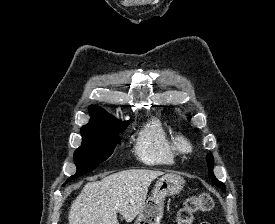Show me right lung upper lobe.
<instances>
[{"mask_svg":"<svg viewBox=\"0 0 275 224\" xmlns=\"http://www.w3.org/2000/svg\"><path fill=\"white\" fill-rule=\"evenodd\" d=\"M89 111L91 113V119L89 123L84 125L82 128H100L122 124L117 122L111 115H109L100 107L91 106Z\"/></svg>","mask_w":275,"mask_h":224,"instance_id":"cb5924a9","label":"right lung upper lobe"}]
</instances>
